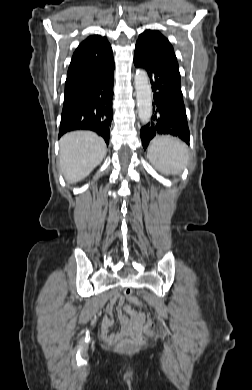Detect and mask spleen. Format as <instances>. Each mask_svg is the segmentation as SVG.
<instances>
[{
    "mask_svg": "<svg viewBox=\"0 0 252 390\" xmlns=\"http://www.w3.org/2000/svg\"><path fill=\"white\" fill-rule=\"evenodd\" d=\"M151 163L164 174H176L185 166L188 159L187 146L171 136H158L148 150Z\"/></svg>",
    "mask_w": 252,
    "mask_h": 390,
    "instance_id": "1",
    "label": "spleen"
}]
</instances>
